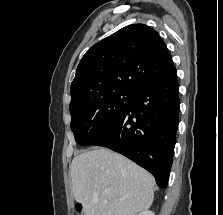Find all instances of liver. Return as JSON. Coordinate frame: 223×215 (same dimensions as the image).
I'll return each mask as SVG.
<instances>
[{
  "instance_id": "6515ba94",
  "label": "liver",
  "mask_w": 223,
  "mask_h": 215,
  "mask_svg": "<svg viewBox=\"0 0 223 215\" xmlns=\"http://www.w3.org/2000/svg\"><path fill=\"white\" fill-rule=\"evenodd\" d=\"M71 177L73 195L83 203V215H135L149 209L153 201V175L104 147L75 155Z\"/></svg>"
}]
</instances>
